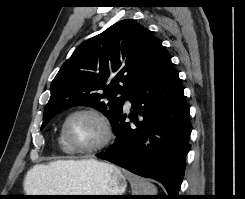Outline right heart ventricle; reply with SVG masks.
Returning <instances> with one entry per match:
<instances>
[{"label": "right heart ventricle", "instance_id": "1", "mask_svg": "<svg viewBox=\"0 0 245 199\" xmlns=\"http://www.w3.org/2000/svg\"><path fill=\"white\" fill-rule=\"evenodd\" d=\"M57 143L60 147V149L66 153V154H73L72 150L69 148V146L67 145V143L65 142L62 132L60 131L58 138H57Z\"/></svg>", "mask_w": 245, "mask_h": 199}]
</instances>
